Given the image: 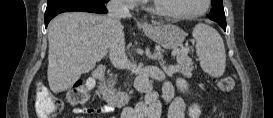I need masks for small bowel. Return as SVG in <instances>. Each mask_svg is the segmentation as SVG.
Segmentation results:
<instances>
[{"label":"small bowel","mask_w":273,"mask_h":118,"mask_svg":"<svg viewBox=\"0 0 273 118\" xmlns=\"http://www.w3.org/2000/svg\"><path fill=\"white\" fill-rule=\"evenodd\" d=\"M176 88L183 95H188V85L184 79H178L176 82ZM175 86L170 81L163 82L162 85V97L167 105V110L162 113L161 103L157 96L152 94L149 96V107L146 113L149 118H186L185 112V99L183 96H175ZM110 111V107L105 105L97 108L80 109L74 110L77 115L85 114H103Z\"/></svg>","instance_id":"small-bowel-1"}]
</instances>
